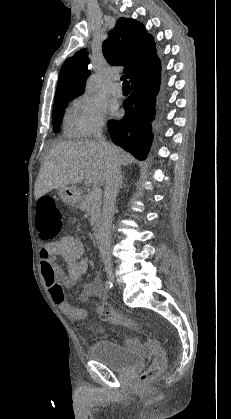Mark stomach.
I'll use <instances>...</instances> for the list:
<instances>
[{"label": "stomach", "mask_w": 231, "mask_h": 419, "mask_svg": "<svg viewBox=\"0 0 231 419\" xmlns=\"http://www.w3.org/2000/svg\"><path fill=\"white\" fill-rule=\"evenodd\" d=\"M58 195L63 202L75 205L81 198V191L76 186H67L59 188Z\"/></svg>", "instance_id": "stomach-1"}]
</instances>
